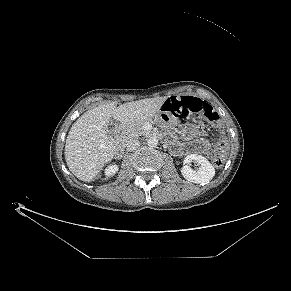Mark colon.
<instances>
[{"instance_id": "1", "label": "colon", "mask_w": 291, "mask_h": 291, "mask_svg": "<svg viewBox=\"0 0 291 291\" xmlns=\"http://www.w3.org/2000/svg\"><path fill=\"white\" fill-rule=\"evenodd\" d=\"M163 110L177 117H185L189 115H197L206 120L219 125V115L215 109L207 102L193 97H171L163 105ZM228 143L224 139L217 142V155L213 161L214 166L220 168L225 163V156L228 152Z\"/></svg>"}]
</instances>
